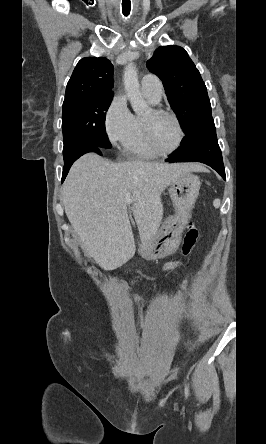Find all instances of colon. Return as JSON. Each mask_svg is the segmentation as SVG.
Returning <instances> with one entry per match:
<instances>
[{"instance_id":"1","label":"colon","mask_w":266,"mask_h":444,"mask_svg":"<svg viewBox=\"0 0 266 444\" xmlns=\"http://www.w3.org/2000/svg\"><path fill=\"white\" fill-rule=\"evenodd\" d=\"M194 280V274L189 275L187 278H185L179 287V290L175 294L173 298L174 304H179L188 294L191 284ZM133 304L135 311L138 314H144L150 310V306L144 304L138 297H133Z\"/></svg>"}]
</instances>
